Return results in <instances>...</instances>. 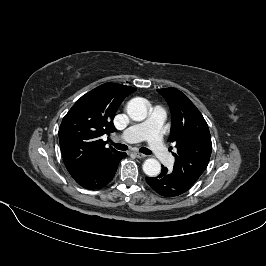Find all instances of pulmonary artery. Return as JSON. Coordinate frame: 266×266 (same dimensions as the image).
Returning <instances> with one entry per match:
<instances>
[{
    "label": "pulmonary artery",
    "instance_id": "1",
    "mask_svg": "<svg viewBox=\"0 0 266 266\" xmlns=\"http://www.w3.org/2000/svg\"><path fill=\"white\" fill-rule=\"evenodd\" d=\"M166 118V111L155 106L149 117L142 123L135 124L120 134V139L126 143H136L146 140L153 154L164 164L173 162V157L166 150L161 137L160 129Z\"/></svg>",
    "mask_w": 266,
    "mask_h": 266
}]
</instances>
